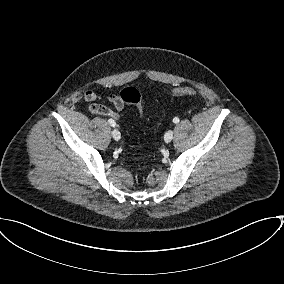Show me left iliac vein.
Here are the masks:
<instances>
[{"instance_id":"left-iliac-vein-1","label":"left iliac vein","mask_w":284,"mask_h":284,"mask_svg":"<svg viewBox=\"0 0 284 284\" xmlns=\"http://www.w3.org/2000/svg\"><path fill=\"white\" fill-rule=\"evenodd\" d=\"M173 131L172 130H169V131H167L166 133H165V135H164V140H165V142L166 143H169V142H171V140L173 139Z\"/></svg>"}]
</instances>
